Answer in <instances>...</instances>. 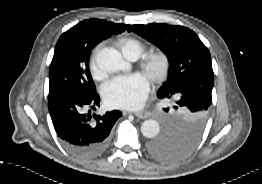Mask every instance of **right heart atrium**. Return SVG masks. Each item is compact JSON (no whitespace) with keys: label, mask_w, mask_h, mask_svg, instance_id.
Instances as JSON below:
<instances>
[{"label":"right heart atrium","mask_w":262,"mask_h":184,"mask_svg":"<svg viewBox=\"0 0 262 184\" xmlns=\"http://www.w3.org/2000/svg\"><path fill=\"white\" fill-rule=\"evenodd\" d=\"M92 74L96 79H104L107 76L106 69L98 62H95L92 66Z\"/></svg>","instance_id":"obj_1"}]
</instances>
